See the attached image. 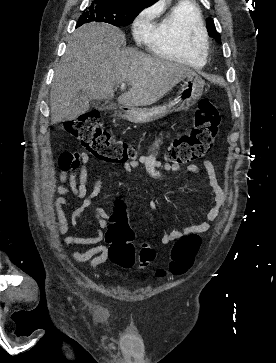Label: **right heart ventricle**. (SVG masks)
<instances>
[{"label":"right heart ventricle","mask_w":276,"mask_h":363,"mask_svg":"<svg viewBox=\"0 0 276 363\" xmlns=\"http://www.w3.org/2000/svg\"><path fill=\"white\" fill-rule=\"evenodd\" d=\"M193 33H206L202 14L193 2L181 0L154 26L147 44L158 57L200 69L206 63V54L192 46Z\"/></svg>","instance_id":"right-heart-ventricle-1"}]
</instances>
